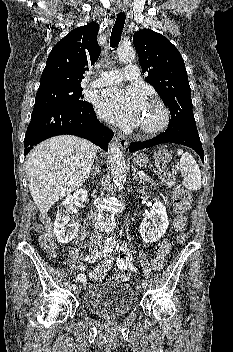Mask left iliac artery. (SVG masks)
Returning a JSON list of instances; mask_svg holds the SVG:
<instances>
[{
	"mask_svg": "<svg viewBox=\"0 0 233 352\" xmlns=\"http://www.w3.org/2000/svg\"><path fill=\"white\" fill-rule=\"evenodd\" d=\"M113 248H114V246L110 248V252L113 251ZM147 285H148L147 282H146V281H143L142 286L146 288Z\"/></svg>",
	"mask_w": 233,
	"mask_h": 352,
	"instance_id": "1",
	"label": "left iliac artery"
}]
</instances>
